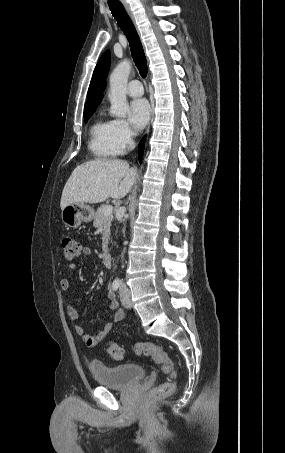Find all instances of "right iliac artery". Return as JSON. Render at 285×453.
<instances>
[{"instance_id": "82829eb1", "label": "right iliac artery", "mask_w": 285, "mask_h": 453, "mask_svg": "<svg viewBox=\"0 0 285 453\" xmlns=\"http://www.w3.org/2000/svg\"><path fill=\"white\" fill-rule=\"evenodd\" d=\"M119 286H120V281L118 278H116L112 283V288H113V290H117L119 288Z\"/></svg>"}]
</instances>
